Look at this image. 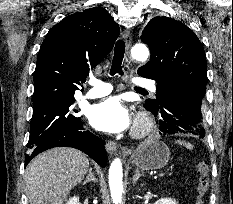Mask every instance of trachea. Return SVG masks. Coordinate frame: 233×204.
I'll list each match as a JSON object with an SVG mask.
<instances>
[{"mask_svg":"<svg viewBox=\"0 0 233 204\" xmlns=\"http://www.w3.org/2000/svg\"><path fill=\"white\" fill-rule=\"evenodd\" d=\"M124 53H125V43L123 40H118L114 48V56L110 70L111 75H115L116 73L123 75L122 61H123ZM135 89L138 91H145L142 88L136 87Z\"/></svg>","mask_w":233,"mask_h":204,"instance_id":"1","label":"trachea"}]
</instances>
